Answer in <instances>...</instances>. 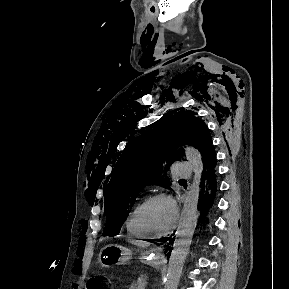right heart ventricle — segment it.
Listing matches in <instances>:
<instances>
[{
	"instance_id": "right-heart-ventricle-1",
	"label": "right heart ventricle",
	"mask_w": 289,
	"mask_h": 289,
	"mask_svg": "<svg viewBox=\"0 0 289 289\" xmlns=\"http://www.w3.org/2000/svg\"><path fill=\"white\" fill-rule=\"evenodd\" d=\"M142 202L137 204V206L128 214L126 221H125V227L127 232L136 238H148L146 234H144L138 227L137 222H136V213L141 205Z\"/></svg>"
}]
</instances>
